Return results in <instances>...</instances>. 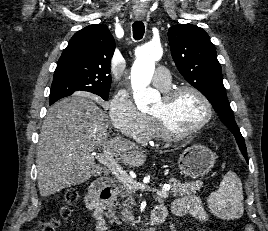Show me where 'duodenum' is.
<instances>
[{
    "label": "duodenum",
    "mask_w": 268,
    "mask_h": 231,
    "mask_svg": "<svg viewBox=\"0 0 268 231\" xmlns=\"http://www.w3.org/2000/svg\"><path fill=\"white\" fill-rule=\"evenodd\" d=\"M113 186V180L109 177H103L94 183L92 191L86 198V204L88 208L94 212V218L98 221V229L100 231H106L103 215L104 206L111 198V188ZM165 219V216L161 214L159 209L152 212L150 216V224L155 225Z\"/></svg>",
    "instance_id": "duodenum-1"
}]
</instances>
